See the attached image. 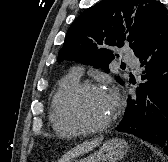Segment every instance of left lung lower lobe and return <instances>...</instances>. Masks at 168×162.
<instances>
[{
    "instance_id": "obj_1",
    "label": "left lung lower lobe",
    "mask_w": 168,
    "mask_h": 162,
    "mask_svg": "<svg viewBox=\"0 0 168 162\" xmlns=\"http://www.w3.org/2000/svg\"><path fill=\"white\" fill-rule=\"evenodd\" d=\"M135 55L145 67L143 83L128 99L120 132L136 135L168 153V14L155 26Z\"/></svg>"
}]
</instances>
